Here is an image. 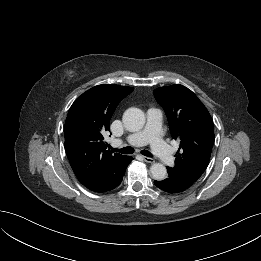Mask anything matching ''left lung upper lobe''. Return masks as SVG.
<instances>
[{"instance_id":"1","label":"left lung upper lobe","mask_w":261,"mask_h":261,"mask_svg":"<svg viewBox=\"0 0 261 261\" xmlns=\"http://www.w3.org/2000/svg\"><path fill=\"white\" fill-rule=\"evenodd\" d=\"M154 96L166 112L172 138L180 142L171 169L194 183L205 171L211 156L212 118L198 97L183 85L157 88Z\"/></svg>"}]
</instances>
